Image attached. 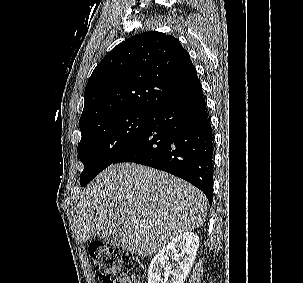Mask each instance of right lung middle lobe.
I'll return each mask as SVG.
<instances>
[{"mask_svg":"<svg viewBox=\"0 0 303 283\" xmlns=\"http://www.w3.org/2000/svg\"><path fill=\"white\" fill-rule=\"evenodd\" d=\"M154 112L133 110L107 117L81 131L78 156L84 164L81 186L112 164L146 130Z\"/></svg>","mask_w":303,"mask_h":283,"instance_id":"right-lung-middle-lobe-1","label":"right lung middle lobe"}]
</instances>
